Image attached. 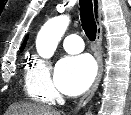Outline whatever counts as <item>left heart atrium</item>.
I'll use <instances>...</instances> for the list:
<instances>
[{
	"mask_svg": "<svg viewBox=\"0 0 131 115\" xmlns=\"http://www.w3.org/2000/svg\"><path fill=\"white\" fill-rule=\"evenodd\" d=\"M95 76V64L86 55L66 56L55 69V83L58 89L69 96L85 91Z\"/></svg>",
	"mask_w": 131,
	"mask_h": 115,
	"instance_id": "obj_1",
	"label": "left heart atrium"
}]
</instances>
